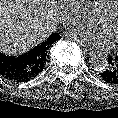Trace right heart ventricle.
Listing matches in <instances>:
<instances>
[{
    "label": "right heart ventricle",
    "instance_id": "1",
    "mask_svg": "<svg viewBox=\"0 0 118 118\" xmlns=\"http://www.w3.org/2000/svg\"><path fill=\"white\" fill-rule=\"evenodd\" d=\"M110 1L111 0H94L95 4H97L101 8L104 7Z\"/></svg>",
    "mask_w": 118,
    "mask_h": 118
}]
</instances>
